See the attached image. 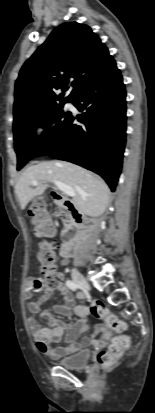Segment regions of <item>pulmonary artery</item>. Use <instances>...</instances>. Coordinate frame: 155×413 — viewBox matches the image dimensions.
<instances>
[{
  "label": "pulmonary artery",
  "mask_w": 155,
  "mask_h": 413,
  "mask_svg": "<svg viewBox=\"0 0 155 413\" xmlns=\"http://www.w3.org/2000/svg\"><path fill=\"white\" fill-rule=\"evenodd\" d=\"M67 106H68V107H71V103H67Z\"/></svg>",
  "instance_id": "e3ab8cb5"
}]
</instances>
